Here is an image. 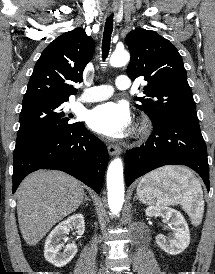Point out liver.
Masks as SVG:
<instances>
[{
  "instance_id": "1",
  "label": "liver",
  "mask_w": 215,
  "mask_h": 274,
  "mask_svg": "<svg viewBox=\"0 0 215 274\" xmlns=\"http://www.w3.org/2000/svg\"><path fill=\"white\" fill-rule=\"evenodd\" d=\"M84 196L81 183L63 172L40 170L27 176L17 191L19 228L26 243L36 245Z\"/></svg>"
}]
</instances>
